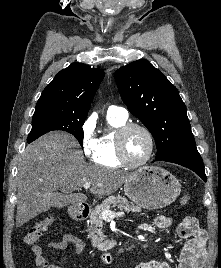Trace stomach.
<instances>
[{
	"instance_id": "1",
	"label": "stomach",
	"mask_w": 221,
	"mask_h": 268,
	"mask_svg": "<svg viewBox=\"0 0 221 268\" xmlns=\"http://www.w3.org/2000/svg\"><path fill=\"white\" fill-rule=\"evenodd\" d=\"M125 195L145 209H159L173 203L181 192V184L165 169L145 166L124 183Z\"/></svg>"
}]
</instances>
